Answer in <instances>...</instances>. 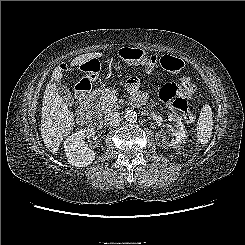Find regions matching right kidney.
I'll list each match as a JSON object with an SVG mask.
<instances>
[{
	"instance_id": "1",
	"label": "right kidney",
	"mask_w": 245,
	"mask_h": 245,
	"mask_svg": "<svg viewBox=\"0 0 245 245\" xmlns=\"http://www.w3.org/2000/svg\"><path fill=\"white\" fill-rule=\"evenodd\" d=\"M95 134L93 129H81L64 141V149L69 164L75 167H85L95 160V152L87 147L84 139Z\"/></svg>"
}]
</instances>
